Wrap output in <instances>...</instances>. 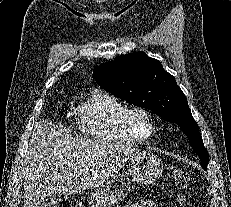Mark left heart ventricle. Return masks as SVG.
<instances>
[{
	"mask_svg": "<svg viewBox=\"0 0 231 207\" xmlns=\"http://www.w3.org/2000/svg\"><path fill=\"white\" fill-rule=\"evenodd\" d=\"M134 123L137 128V130L140 132V134L146 136L150 131V125L148 123V120L143 115L137 114L134 116Z\"/></svg>",
	"mask_w": 231,
	"mask_h": 207,
	"instance_id": "left-heart-ventricle-1",
	"label": "left heart ventricle"
}]
</instances>
